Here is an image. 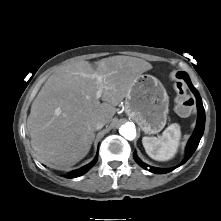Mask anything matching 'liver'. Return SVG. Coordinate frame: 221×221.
Segmentation results:
<instances>
[{
	"label": "liver",
	"mask_w": 221,
	"mask_h": 221,
	"mask_svg": "<svg viewBox=\"0 0 221 221\" xmlns=\"http://www.w3.org/2000/svg\"><path fill=\"white\" fill-rule=\"evenodd\" d=\"M68 65L52 74L34 99L27 119L31 145L51 167H69L83 159L95 137L92 121L110 122L134 81L152 65L130 56ZM97 76H102L99 83ZM102 90V103L96 98Z\"/></svg>",
	"instance_id": "1"
}]
</instances>
